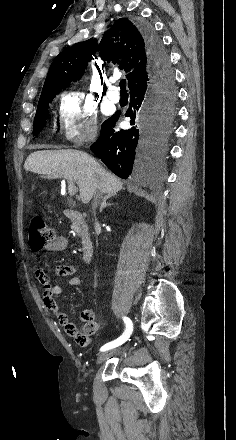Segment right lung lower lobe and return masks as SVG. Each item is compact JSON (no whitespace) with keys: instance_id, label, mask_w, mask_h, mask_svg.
<instances>
[{"instance_id":"1","label":"right lung lower lobe","mask_w":236,"mask_h":440,"mask_svg":"<svg viewBox=\"0 0 236 440\" xmlns=\"http://www.w3.org/2000/svg\"><path fill=\"white\" fill-rule=\"evenodd\" d=\"M140 29L149 57L150 80L130 91V104L125 114L131 118V125L136 119L138 126L115 132L120 115L116 113L102 124L100 137L91 146L92 152L123 179L131 175L134 163L136 167L144 166L151 155L162 151L154 88L168 81L174 83L169 56L161 39L148 25H141Z\"/></svg>"}]
</instances>
